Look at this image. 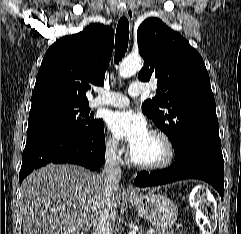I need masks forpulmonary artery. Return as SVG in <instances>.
<instances>
[{"mask_svg": "<svg viewBox=\"0 0 241 234\" xmlns=\"http://www.w3.org/2000/svg\"><path fill=\"white\" fill-rule=\"evenodd\" d=\"M143 92L144 86L139 82L132 83L128 89L129 97H137ZM129 97L117 92L102 91L101 94L93 100L92 106L125 107L129 104Z\"/></svg>", "mask_w": 241, "mask_h": 234, "instance_id": "1", "label": "pulmonary artery"}]
</instances>
